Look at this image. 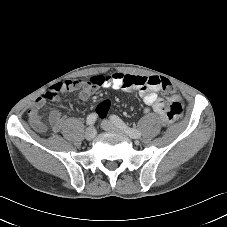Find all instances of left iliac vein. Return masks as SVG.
<instances>
[{"label": "left iliac vein", "instance_id": "left-iliac-vein-1", "mask_svg": "<svg viewBox=\"0 0 227 227\" xmlns=\"http://www.w3.org/2000/svg\"><path fill=\"white\" fill-rule=\"evenodd\" d=\"M101 127L106 131H112L117 133H126L124 130L120 129L116 124L109 120H103L101 122Z\"/></svg>", "mask_w": 227, "mask_h": 227}]
</instances>
